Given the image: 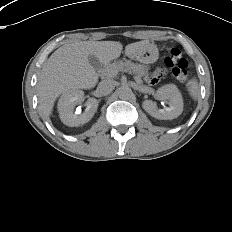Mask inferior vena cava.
<instances>
[{
    "label": "inferior vena cava",
    "mask_w": 232,
    "mask_h": 232,
    "mask_svg": "<svg viewBox=\"0 0 232 232\" xmlns=\"http://www.w3.org/2000/svg\"><path fill=\"white\" fill-rule=\"evenodd\" d=\"M115 88V82L113 80H102L97 87V93L99 96H106L110 94Z\"/></svg>",
    "instance_id": "obj_1"
}]
</instances>
